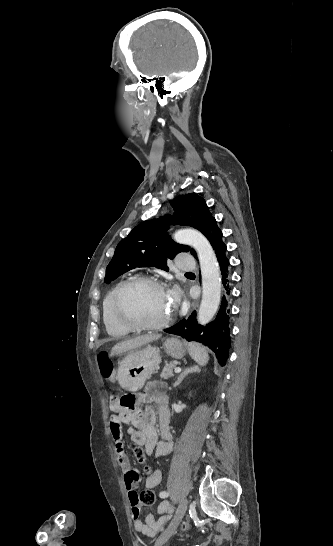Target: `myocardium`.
<instances>
[{
	"instance_id": "myocardium-1",
	"label": "myocardium",
	"mask_w": 333,
	"mask_h": 546,
	"mask_svg": "<svg viewBox=\"0 0 333 546\" xmlns=\"http://www.w3.org/2000/svg\"><path fill=\"white\" fill-rule=\"evenodd\" d=\"M139 285H154L160 288H164V284L155 277L152 276H135L128 279L117 291L114 299V313L118 321L129 328L130 330H161L169 326L175 316V310L172 309L169 316L158 323H147L140 321L131 316L125 307V297L128 292Z\"/></svg>"
}]
</instances>
